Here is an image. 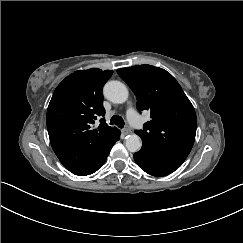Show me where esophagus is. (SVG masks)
<instances>
[{"instance_id":"34e87169","label":"esophagus","mask_w":243,"mask_h":243,"mask_svg":"<svg viewBox=\"0 0 243 243\" xmlns=\"http://www.w3.org/2000/svg\"><path fill=\"white\" fill-rule=\"evenodd\" d=\"M131 133H132V131L128 128H124V129L121 130L122 136H125L127 134H131Z\"/></svg>"}]
</instances>
